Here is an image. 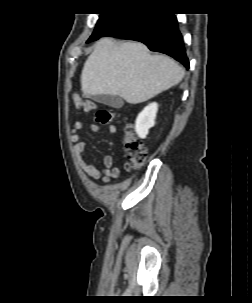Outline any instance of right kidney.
Returning <instances> with one entry per match:
<instances>
[{"label": "right kidney", "instance_id": "right-kidney-1", "mask_svg": "<svg viewBox=\"0 0 252 303\" xmlns=\"http://www.w3.org/2000/svg\"><path fill=\"white\" fill-rule=\"evenodd\" d=\"M158 111L157 103H150L138 115L135 122V131L140 138H146L149 129L155 125Z\"/></svg>", "mask_w": 252, "mask_h": 303}]
</instances>
